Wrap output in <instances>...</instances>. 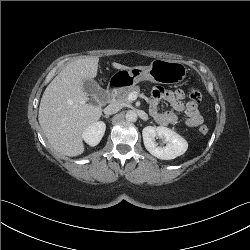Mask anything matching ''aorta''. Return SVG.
<instances>
[{
  "instance_id": "obj_1",
  "label": "aorta",
  "mask_w": 250,
  "mask_h": 250,
  "mask_svg": "<svg viewBox=\"0 0 250 250\" xmlns=\"http://www.w3.org/2000/svg\"><path fill=\"white\" fill-rule=\"evenodd\" d=\"M125 117H126L127 121L134 122L137 120V113L133 110H129V111H127Z\"/></svg>"
}]
</instances>
